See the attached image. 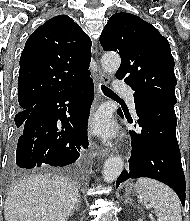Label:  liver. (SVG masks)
I'll list each match as a JSON object with an SVG mask.
<instances>
[{"label": "liver", "mask_w": 190, "mask_h": 221, "mask_svg": "<svg viewBox=\"0 0 190 221\" xmlns=\"http://www.w3.org/2000/svg\"><path fill=\"white\" fill-rule=\"evenodd\" d=\"M78 196L76 185L64 176H26L9 192L4 218L5 221H67Z\"/></svg>", "instance_id": "obj_1"}]
</instances>
